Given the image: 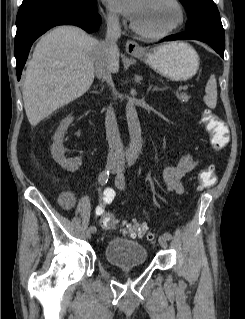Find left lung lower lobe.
I'll use <instances>...</instances> for the list:
<instances>
[{"label": "left lung lower lobe", "instance_id": "obj_1", "mask_svg": "<svg viewBox=\"0 0 245 319\" xmlns=\"http://www.w3.org/2000/svg\"><path fill=\"white\" fill-rule=\"evenodd\" d=\"M200 40L209 44L222 58H224L225 40L217 37L208 32L195 31V32H182L175 35H170L162 39V41H172V40Z\"/></svg>", "mask_w": 245, "mask_h": 319}]
</instances>
